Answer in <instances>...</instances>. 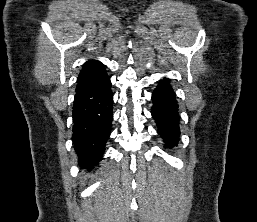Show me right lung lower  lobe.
<instances>
[{"label":"right lung lower lobe","instance_id":"98d812e1","mask_svg":"<svg viewBox=\"0 0 257 222\" xmlns=\"http://www.w3.org/2000/svg\"><path fill=\"white\" fill-rule=\"evenodd\" d=\"M113 94L107 74L76 89L72 141L82 168L93 169L101 160L111 133Z\"/></svg>","mask_w":257,"mask_h":222}]
</instances>
